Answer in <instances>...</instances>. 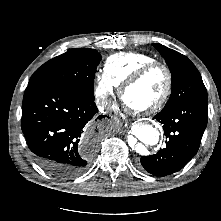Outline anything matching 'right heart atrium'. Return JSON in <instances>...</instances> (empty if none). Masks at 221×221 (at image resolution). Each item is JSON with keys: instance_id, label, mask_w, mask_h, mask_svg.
I'll use <instances>...</instances> for the list:
<instances>
[{"instance_id": "d8ad5b80", "label": "right heart atrium", "mask_w": 221, "mask_h": 221, "mask_svg": "<svg viewBox=\"0 0 221 221\" xmlns=\"http://www.w3.org/2000/svg\"><path fill=\"white\" fill-rule=\"evenodd\" d=\"M117 87L118 85L105 72L98 74L95 83L97 104L102 108H107L111 104Z\"/></svg>"}]
</instances>
